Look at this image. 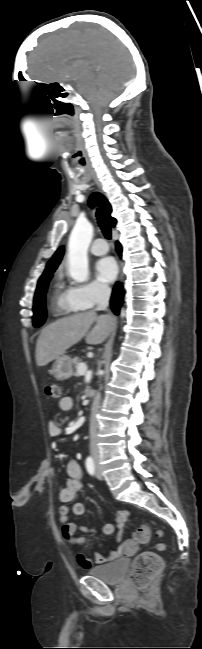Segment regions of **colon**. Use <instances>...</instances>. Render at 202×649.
Here are the masks:
<instances>
[{"label":"colon","mask_w":202,"mask_h":649,"mask_svg":"<svg viewBox=\"0 0 202 649\" xmlns=\"http://www.w3.org/2000/svg\"><path fill=\"white\" fill-rule=\"evenodd\" d=\"M44 393L48 398L58 399L61 397V388L56 383H48L44 387ZM151 527L148 524H141L135 530L133 538L127 540L122 544V552L124 555H130L135 552L137 544L147 543L151 536ZM158 548L162 549L163 544H158ZM163 569V561L161 557L151 551L139 554L132 566L130 579L132 583L138 588L146 587Z\"/></svg>","instance_id":"5ec220e1"}]
</instances>
